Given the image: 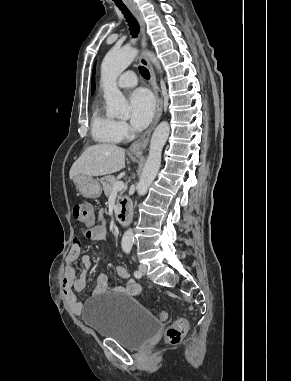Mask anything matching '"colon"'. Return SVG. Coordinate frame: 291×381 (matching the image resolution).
Listing matches in <instances>:
<instances>
[{
    "mask_svg": "<svg viewBox=\"0 0 291 381\" xmlns=\"http://www.w3.org/2000/svg\"><path fill=\"white\" fill-rule=\"evenodd\" d=\"M74 219L85 229H91L95 222V213L91 205L85 203H77L72 208ZM158 318L164 321L168 318L166 311H161ZM188 324L183 318H179L166 330L165 340L168 344H179L187 332Z\"/></svg>",
    "mask_w": 291,
    "mask_h": 381,
    "instance_id": "1",
    "label": "colon"
}]
</instances>
